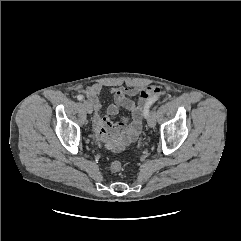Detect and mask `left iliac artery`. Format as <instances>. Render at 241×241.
<instances>
[{"label": "left iliac artery", "instance_id": "obj_1", "mask_svg": "<svg viewBox=\"0 0 241 241\" xmlns=\"http://www.w3.org/2000/svg\"><path fill=\"white\" fill-rule=\"evenodd\" d=\"M145 117L147 118L149 116V108H147L144 112Z\"/></svg>", "mask_w": 241, "mask_h": 241}]
</instances>
